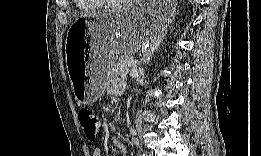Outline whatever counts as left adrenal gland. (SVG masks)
<instances>
[{"label": "left adrenal gland", "instance_id": "a2214340", "mask_svg": "<svg viewBox=\"0 0 261 156\" xmlns=\"http://www.w3.org/2000/svg\"><path fill=\"white\" fill-rule=\"evenodd\" d=\"M164 36L165 35L158 36V38L155 39V41H153L152 45L146 50V52L142 56L141 62H143L144 64H149V62L152 59L153 54L155 53V51L158 50L160 44L162 43Z\"/></svg>", "mask_w": 261, "mask_h": 156}]
</instances>
